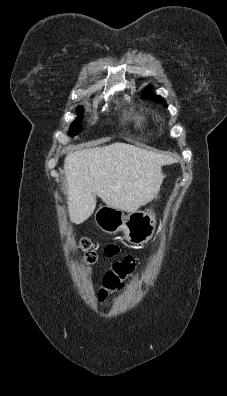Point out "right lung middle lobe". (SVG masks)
<instances>
[{
    "mask_svg": "<svg viewBox=\"0 0 227 396\" xmlns=\"http://www.w3.org/2000/svg\"><path fill=\"white\" fill-rule=\"evenodd\" d=\"M78 111H79V113L81 114L82 111H83V108H82V107H79V108H78ZM80 122H81V119L78 118L76 121H74V122L72 123V125H71V127H70V130H69V135L74 136V135H77V134L80 132V130H81V128H80V126H79Z\"/></svg>",
    "mask_w": 227,
    "mask_h": 396,
    "instance_id": "dd1d6c3e",
    "label": "right lung middle lobe"
}]
</instances>
